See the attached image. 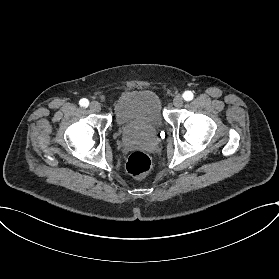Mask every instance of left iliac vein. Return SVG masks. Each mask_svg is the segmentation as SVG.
I'll return each mask as SVG.
<instances>
[{"label": "left iliac vein", "instance_id": "4c4485c4", "mask_svg": "<svg viewBox=\"0 0 279 279\" xmlns=\"http://www.w3.org/2000/svg\"><path fill=\"white\" fill-rule=\"evenodd\" d=\"M183 102H184V100H183V97L181 95H177L173 99V105L175 107H182L183 106Z\"/></svg>", "mask_w": 279, "mask_h": 279}]
</instances>
